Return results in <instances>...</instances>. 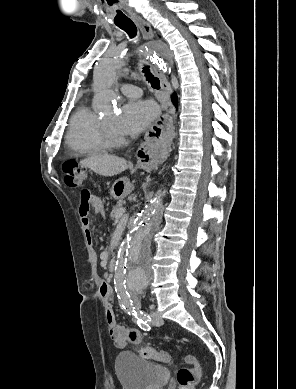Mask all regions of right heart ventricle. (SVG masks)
Masks as SVG:
<instances>
[{"instance_id":"e07e8e85","label":"right heart ventricle","mask_w":296,"mask_h":389,"mask_svg":"<svg viewBox=\"0 0 296 389\" xmlns=\"http://www.w3.org/2000/svg\"><path fill=\"white\" fill-rule=\"evenodd\" d=\"M101 118L86 106L73 114L66 134V144L75 154L91 156L107 150L102 139Z\"/></svg>"}]
</instances>
